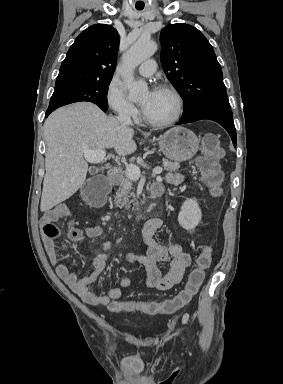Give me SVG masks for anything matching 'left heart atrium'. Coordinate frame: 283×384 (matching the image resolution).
<instances>
[{
  "label": "left heart atrium",
  "instance_id": "39dd6f15",
  "mask_svg": "<svg viewBox=\"0 0 283 384\" xmlns=\"http://www.w3.org/2000/svg\"><path fill=\"white\" fill-rule=\"evenodd\" d=\"M153 94H154V90L148 92L146 99L140 104L142 109H144L147 106V104H148L149 100L151 99V97L153 96Z\"/></svg>",
  "mask_w": 283,
  "mask_h": 384
}]
</instances>
